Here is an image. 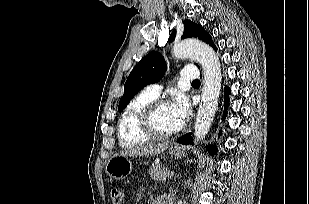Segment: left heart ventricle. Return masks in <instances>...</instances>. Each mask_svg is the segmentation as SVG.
<instances>
[{"mask_svg":"<svg viewBox=\"0 0 309 204\" xmlns=\"http://www.w3.org/2000/svg\"><path fill=\"white\" fill-rule=\"evenodd\" d=\"M153 124L157 131L167 133L176 130L175 120L170 105L159 108L153 117Z\"/></svg>","mask_w":309,"mask_h":204,"instance_id":"b2bd125f","label":"left heart ventricle"}]
</instances>
